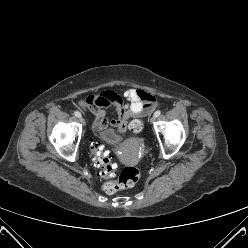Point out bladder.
<instances>
[{"instance_id":"obj_1","label":"bladder","mask_w":248,"mask_h":248,"mask_svg":"<svg viewBox=\"0 0 248 248\" xmlns=\"http://www.w3.org/2000/svg\"><path fill=\"white\" fill-rule=\"evenodd\" d=\"M101 139L109 144V145H116L120 141V136L111 128H105L100 132Z\"/></svg>"}]
</instances>
